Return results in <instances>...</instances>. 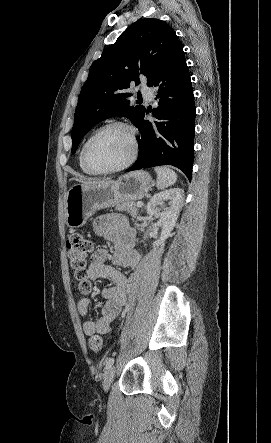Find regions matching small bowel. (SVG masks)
Returning <instances> with one entry per match:
<instances>
[{
	"mask_svg": "<svg viewBox=\"0 0 271 443\" xmlns=\"http://www.w3.org/2000/svg\"><path fill=\"white\" fill-rule=\"evenodd\" d=\"M97 237L110 241L114 245L112 261L116 266L134 268L140 261V255L134 249L135 233L124 217L119 215H104L98 217L93 225ZM108 251L105 248L97 249L88 269L91 280L108 278L114 285L102 289L101 294L106 299L101 316L92 320L88 316L91 311V300L82 298L78 301L77 309L85 319L83 331L85 335H106L111 333L112 324L117 320L126 302L129 278L124 273L106 264Z\"/></svg>",
	"mask_w": 271,
	"mask_h": 443,
	"instance_id": "1",
	"label": "small bowel"
}]
</instances>
